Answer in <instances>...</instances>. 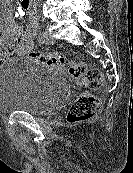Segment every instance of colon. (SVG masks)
I'll list each match as a JSON object with an SVG mask.
<instances>
[{
  "label": "colon",
  "mask_w": 133,
  "mask_h": 173,
  "mask_svg": "<svg viewBox=\"0 0 133 173\" xmlns=\"http://www.w3.org/2000/svg\"><path fill=\"white\" fill-rule=\"evenodd\" d=\"M13 44L9 45L11 48ZM0 58L2 54L0 53ZM31 58L52 67H66L69 76L78 82L84 92L76 99L67 115L70 123L90 119L99 109V99L91 94L104 83L102 73L96 68H89L84 62L67 60L60 53L33 52Z\"/></svg>",
  "instance_id": "obj_1"
}]
</instances>
